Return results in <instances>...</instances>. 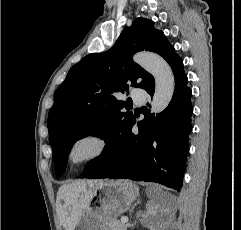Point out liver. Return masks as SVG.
Masks as SVG:
<instances>
[{"label": "liver", "instance_id": "liver-1", "mask_svg": "<svg viewBox=\"0 0 241 230\" xmlns=\"http://www.w3.org/2000/svg\"><path fill=\"white\" fill-rule=\"evenodd\" d=\"M94 194V186H62L57 194V213L65 230H74ZM63 201V204L61 203Z\"/></svg>", "mask_w": 241, "mask_h": 230}]
</instances>
